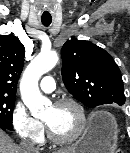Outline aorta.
I'll return each mask as SVG.
<instances>
[{
  "label": "aorta",
  "mask_w": 130,
  "mask_h": 153,
  "mask_svg": "<svg viewBox=\"0 0 130 153\" xmlns=\"http://www.w3.org/2000/svg\"><path fill=\"white\" fill-rule=\"evenodd\" d=\"M55 52L40 53L25 69L21 82L20 92L24 104L33 116L43 113L50 105V100L43 96L38 87L41 76L55 67L58 62Z\"/></svg>",
  "instance_id": "1"
}]
</instances>
